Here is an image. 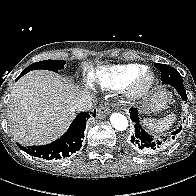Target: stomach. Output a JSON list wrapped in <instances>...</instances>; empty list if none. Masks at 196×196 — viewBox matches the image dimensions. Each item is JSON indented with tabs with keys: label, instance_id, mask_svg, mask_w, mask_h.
<instances>
[{
	"label": "stomach",
	"instance_id": "stomach-1",
	"mask_svg": "<svg viewBox=\"0 0 196 196\" xmlns=\"http://www.w3.org/2000/svg\"><path fill=\"white\" fill-rule=\"evenodd\" d=\"M169 100V93L165 89L157 88L145 100L144 111L147 113L160 112L167 107Z\"/></svg>",
	"mask_w": 196,
	"mask_h": 196
}]
</instances>
